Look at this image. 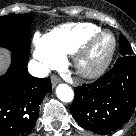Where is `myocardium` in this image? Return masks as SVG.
Segmentation results:
<instances>
[{"label":"myocardium","mask_w":136,"mask_h":136,"mask_svg":"<svg viewBox=\"0 0 136 136\" xmlns=\"http://www.w3.org/2000/svg\"><path fill=\"white\" fill-rule=\"evenodd\" d=\"M110 36L111 46L106 56L96 65L92 67L84 66V60L91 51L94 44L103 36ZM117 48L115 35L110 31H99L86 39L78 49L73 53V67L77 74L83 78L93 79L101 76L113 61Z\"/></svg>","instance_id":"myocardium-1"}]
</instances>
